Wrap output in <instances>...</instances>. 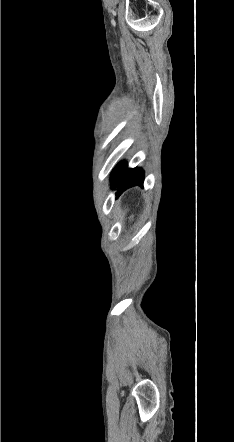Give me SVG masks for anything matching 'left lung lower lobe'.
Segmentation results:
<instances>
[{
    "label": "left lung lower lobe",
    "mask_w": 234,
    "mask_h": 442,
    "mask_svg": "<svg viewBox=\"0 0 234 442\" xmlns=\"http://www.w3.org/2000/svg\"><path fill=\"white\" fill-rule=\"evenodd\" d=\"M143 171L139 168L127 169L126 163H120L112 173V188H118L116 196L118 197L126 189L143 185Z\"/></svg>",
    "instance_id": "1"
}]
</instances>
